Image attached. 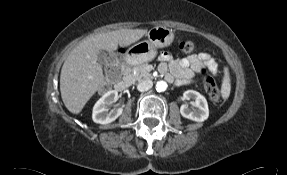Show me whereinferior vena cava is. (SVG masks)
<instances>
[{
	"label": "inferior vena cava",
	"instance_id": "602c4592",
	"mask_svg": "<svg viewBox=\"0 0 287 175\" xmlns=\"http://www.w3.org/2000/svg\"><path fill=\"white\" fill-rule=\"evenodd\" d=\"M152 86H153L152 80L146 79V80L141 81V82L137 85V89H138L140 92H145V91H148L149 89H151Z\"/></svg>",
	"mask_w": 287,
	"mask_h": 175
}]
</instances>
